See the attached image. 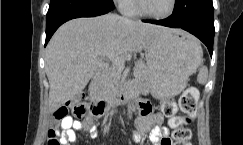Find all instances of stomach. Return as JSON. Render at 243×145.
Wrapping results in <instances>:
<instances>
[{"instance_id": "stomach-1", "label": "stomach", "mask_w": 243, "mask_h": 145, "mask_svg": "<svg viewBox=\"0 0 243 145\" xmlns=\"http://www.w3.org/2000/svg\"><path fill=\"white\" fill-rule=\"evenodd\" d=\"M201 46L198 40L179 30L153 36L146 46L147 82L158 98H170L187 86L188 77L197 69Z\"/></svg>"}]
</instances>
